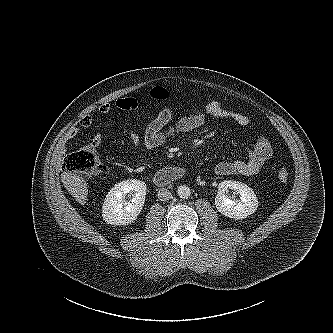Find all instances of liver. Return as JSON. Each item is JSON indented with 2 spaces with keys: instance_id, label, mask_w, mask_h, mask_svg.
I'll list each match as a JSON object with an SVG mask.
<instances>
[{
  "instance_id": "6515ba94",
  "label": "liver",
  "mask_w": 333,
  "mask_h": 333,
  "mask_svg": "<svg viewBox=\"0 0 333 333\" xmlns=\"http://www.w3.org/2000/svg\"><path fill=\"white\" fill-rule=\"evenodd\" d=\"M61 181L75 200L81 205H85L88 199V185L86 181L72 172H63L61 174Z\"/></svg>"
}]
</instances>
